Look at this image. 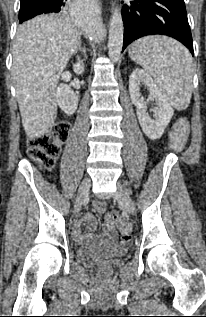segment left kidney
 I'll list each match as a JSON object with an SVG mask.
<instances>
[{"label": "left kidney", "instance_id": "obj_1", "mask_svg": "<svg viewBox=\"0 0 206 317\" xmlns=\"http://www.w3.org/2000/svg\"><path fill=\"white\" fill-rule=\"evenodd\" d=\"M144 85L149 90V98L157 102L153 108L155 119L147 114V106L144 102L140 87ZM129 92L133 104L137 107V117L145 135L152 139H159L173 116V108L157 88L153 79L143 70L135 69L129 78Z\"/></svg>", "mask_w": 206, "mask_h": 317}]
</instances>
